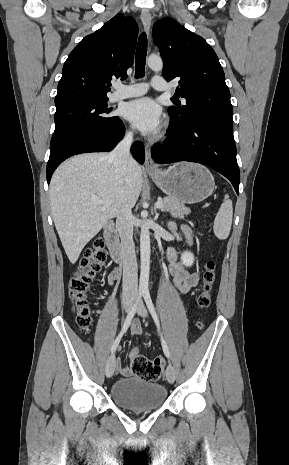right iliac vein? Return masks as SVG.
Wrapping results in <instances>:
<instances>
[{"label": "right iliac vein", "mask_w": 289, "mask_h": 465, "mask_svg": "<svg viewBox=\"0 0 289 465\" xmlns=\"http://www.w3.org/2000/svg\"><path fill=\"white\" fill-rule=\"evenodd\" d=\"M132 305H133V300L132 299H125L124 302H123V306H124V309L126 312H130L131 308H132ZM115 365H116V361H115V355L112 354L107 362H106V366H105V373H106V376L107 377H112L113 374H114V371H115Z\"/></svg>", "instance_id": "63e3f726"}]
</instances>
